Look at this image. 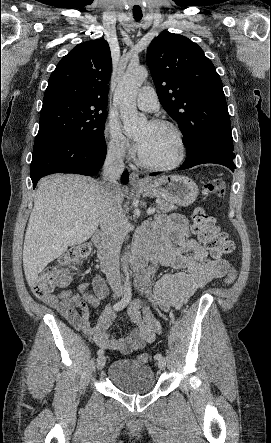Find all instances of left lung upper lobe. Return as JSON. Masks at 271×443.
I'll use <instances>...</instances> for the list:
<instances>
[{"label": "left lung upper lobe", "instance_id": "1", "mask_svg": "<svg viewBox=\"0 0 271 443\" xmlns=\"http://www.w3.org/2000/svg\"><path fill=\"white\" fill-rule=\"evenodd\" d=\"M147 64L161 104L184 136L187 153L208 136L232 139L221 79L196 43L165 31L150 43Z\"/></svg>", "mask_w": 271, "mask_h": 443}]
</instances>
